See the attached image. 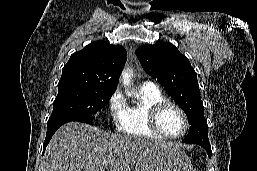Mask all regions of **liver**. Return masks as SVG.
Masks as SVG:
<instances>
[{
    "label": "liver",
    "mask_w": 257,
    "mask_h": 171,
    "mask_svg": "<svg viewBox=\"0 0 257 171\" xmlns=\"http://www.w3.org/2000/svg\"><path fill=\"white\" fill-rule=\"evenodd\" d=\"M175 143L113 134L80 122L64 124L45 153V171H131L148 149Z\"/></svg>",
    "instance_id": "6515ba94"
}]
</instances>
